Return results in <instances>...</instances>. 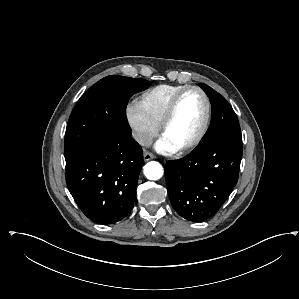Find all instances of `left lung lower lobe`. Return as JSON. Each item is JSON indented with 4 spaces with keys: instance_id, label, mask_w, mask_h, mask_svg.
<instances>
[{
    "instance_id": "obj_1",
    "label": "left lung lower lobe",
    "mask_w": 299,
    "mask_h": 299,
    "mask_svg": "<svg viewBox=\"0 0 299 299\" xmlns=\"http://www.w3.org/2000/svg\"><path fill=\"white\" fill-rule=\"evenodd\" d=\"M241 158L242 141L217 138L182 159L167 161L165 179L173 208L193 222L212 217L237 183Z\"/></svg>"
}]
</instances>
